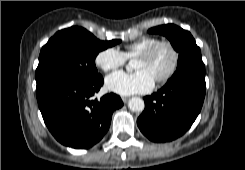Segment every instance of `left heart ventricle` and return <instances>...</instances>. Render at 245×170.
I'll list each match as a JSON object with an SVG mask.
<instances>
[{"label":"left heart ventricle","mask_w":245,"mask_h":170,"mask_svg":"<svg viewBox=\"0 0 245 170\" xmlns=\"http://www.w3.org/2000/svg\"><path fill=\"white\" fill-rule=\"evenodd\" d=\"M172 61L173 57L168 47L160 46L150 58H136L134 68L147 71L156 80L166 74Z\"/></svg>","instance_id":"obj_1"}]
</instances>
